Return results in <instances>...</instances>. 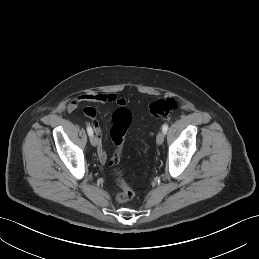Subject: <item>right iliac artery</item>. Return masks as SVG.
I'll return each mask as SVG.
<instances>
[{
    "instance_id": "right-iliac-artery-1",
    "label": "right iliac artery",
    "mask_w": 259,
    "mask_h": 259,
    "mask_svg": "<svg viewBox=\"0 0 259 259\" xmlns=\"http://www.w3.org/2000/svg\"><path fill=\"white\" fill-rule=\"evenodd\" d=\"M87 132H88L89 136L93 135V130L90 126L87 127Z\"/></svg>"
}]
</instances>
